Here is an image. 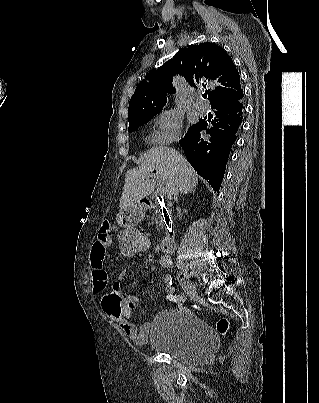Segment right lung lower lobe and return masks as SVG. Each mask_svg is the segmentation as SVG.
Instances as JSON below:
<instances>
[{
    "instance_id": "obj_1",
    "label": "right lung lower lobe",
    "mask_w": 319,
    "mask_h": 403,
    "mask_svg": "<svg viewBox=\"0 0 319 403\" xmlns=\"http://www.w3.org/2000/svg\"><path fill=\"white\" fill-rule=\"evenodd\" d=\"M243 97L240 94L212 105L214 119L200 120L179 141L188 162L215 192H219L230 149L243 119ZM202 130L206 133L201 134Z\"/></svg>"
}]
</instances>
